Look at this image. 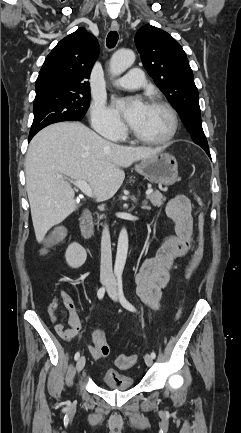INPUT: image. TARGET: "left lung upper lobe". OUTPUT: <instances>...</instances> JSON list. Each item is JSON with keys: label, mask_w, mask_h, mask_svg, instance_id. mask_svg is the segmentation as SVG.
Wrapping results in <instances>:
<instances>
[{"label": "left lung upper lobe", "mask_w": 241, "mask_h": 433, "mask_svg": "<svg viewBox=\"0 0 241 433\" xmlns=\"http://www.w3.org/2000/svg\"><path fill=\"white\" fill-rule=\"evenodd\" d=\"M135 44L145 69L180 112L193 141L203 149L209 148L202 128L193 72L180 44L167 32L152 25L138 30Z\"/></svg>", "instance_id": "1"}]
</instances>
